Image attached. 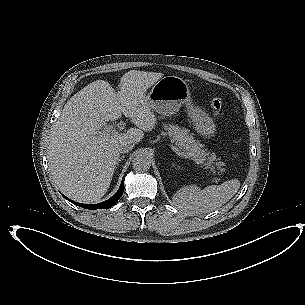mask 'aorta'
<instances>
[{
  "mask_svg": "<svg viewBox=\"0 0 305 305\" xmlns=\"http://www.w3.org/2000/svg\"><path fill=\"white\" fill-rule=\"evenodd\" d=\"M135 171H147L151 167V155L147 152H139L132 160Z\"/></svg>",
  "mask_w": 305,
  "mask_h": 305,
  "instance_id": "aorta-1",
  "label": "aorta"
}]
</instances>
